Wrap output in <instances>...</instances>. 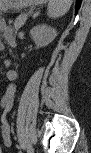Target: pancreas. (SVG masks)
<instances>
[{
	"mask_svg": "<svg viewBox=\"0 0 91 153\" xmlns=\"http://www.w3.org/2000/svg\"><path fill=\"white\" fill-rule=\"evenodd\" d=\"M27 20V15H20L14 22L15 29L18 30Z\"/></svg>",
	"mask_w": 91,
	"mask_h": 153,
	"instance_id": "cf45deb5",
	"label": "pancreas"
}]
</instances>
